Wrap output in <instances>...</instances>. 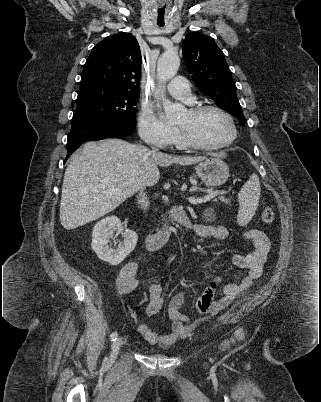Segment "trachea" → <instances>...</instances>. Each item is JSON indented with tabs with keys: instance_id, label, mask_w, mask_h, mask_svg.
<instances>
[{
	"instance_id": "obj_1",
	"label": "trachea",
	"mask_w": 321,
	"mask_h": 402,
	"mask_svg": "<svg viewBox=\"0 0 321 402\" xmlns=\"http://www.w3.org/2000/svg\"><path fill=\"white\" fill-rule=\"evenodd\" d=\"M158 26H159V27H163V26H164V24H158Z\"/></svg>"
}]
</instances>
